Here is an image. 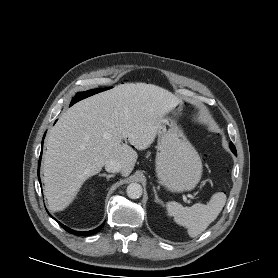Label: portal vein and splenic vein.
I'll return each instance as SVG.
<instances>
[{
	"label": "portal vein and splenic vein",
	"mask_w": 278,
	"mask_h": 278,
	"mask_svg": "<svg viewBox=\"0 0 278 278\" xmlns=\"http://www.w3.org/2000/svg\"><path fill=\"white\" fill-rule=\"evenodd\" d=\"M187 197L191 198V199H194V196L191 195V194H187Z\"/></svg>",
	"instance_id": "18ae733b"
}]
</instances>
